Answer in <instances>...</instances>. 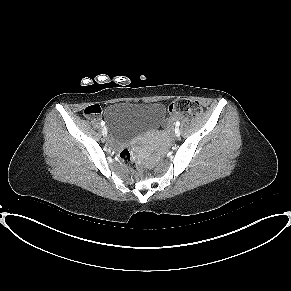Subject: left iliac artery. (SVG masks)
Masks as SVG:
<instances>
[{"instance_id": "left-iliac-artery-1", "label": "left iliac artery", "mask_w": 291, "mask_h": 291, "mask_svg": "<svg viewBox=\"0 0 291 291\" xmlns=\"http://www.w3.org/2000/svg\"><path fill=\"white\" fill-rule=\"evenodd\" d=\"M175 125H176V126H179V125H180V121H177V122L175 123Z\"/></svg>"}]
</instances>
